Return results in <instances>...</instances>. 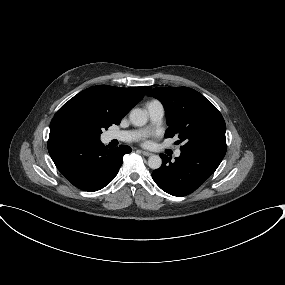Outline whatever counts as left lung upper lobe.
<instances>
[{
	"label": "left lung upper lobe",
	"instance_id": "1",
	"mask_svg": "<svg viewBox=\"0 0 285 285\" xmlns=\"http://www.w3.org/2000/svg\"><path fill=\"white\" fill-rule=\"evenodd\" d=\"M163 104L169 128L165 137L178 136L181 151L224 158L226 125L221 113L202 94L187 87L154 88L149 94Z\"/></svg>",
	"mask_w": 285,
	"mask_h": 285
}]
</instances>
